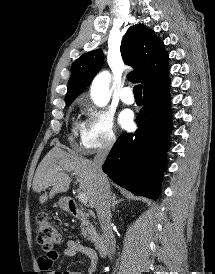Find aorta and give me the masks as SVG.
<instances>
[{"label":"aorta","mask_w":215,"mask_h":274,"mask_svg":"<svg viewBox=\"0 0 215 274\" xmlns=\"http://www.w3.org/2000/svg\"><path fill=\"white\" fill-rule=\"evenodd\" d=\"M109 77V72L104 71L98 74L92 82L90 93L97 106L104 107L110 100Z\"/></svg>","instance_id":"1"}]
</instances>
